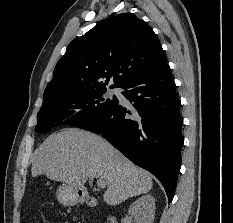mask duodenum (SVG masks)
<instances>
[{
  "mask_svg": "<svg viewBox=\"0 0 233 223\" xmlns=\"http://www.w3.org/2000/svg\"><path fill=\"white\" fill-rule=\"evenodd\" d=\"M77 200L81 203H85L87 206L91 208H95L98 206V201L95 197L91 196L86 190H79L77 193ZM107 223H117L116 219L113 217H109L107 219Z\"/></svg>",
  "mask_w": 233,
  "mask_h": 223,
  "instance_id": "1",
  "label": "duodenum"
}]
</instances>
